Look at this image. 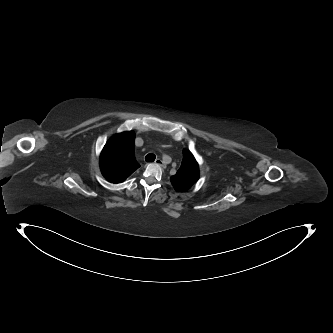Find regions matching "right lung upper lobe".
<instances>
[{"mask_svg":"<svg viewBox=\"0 0 333 333\" xmlns=\"http://www.w3.org/2000/svg\"><path fill=\"white\" fill-rule=\"evenodd\" d=\"M135 133L125 131L113 136L104 146L99 163L102 175L111 183H120L140 165L134 156Z\"/></svg>","mask_w":333,"mask_h":333,"instance_id":"right-lung-upper-lobe-1","label":"right lung upper lobe"}]
</instances>
